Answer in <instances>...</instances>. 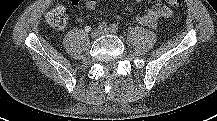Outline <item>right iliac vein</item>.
I'll return each mask as SVG.
<instances>
[{"instance_id": "obj_1", "label": "right iliac vein", "mask_w": 217, "mask_h": 121, "mask_svg": "<svg viewBox=\"0 0 217 121\" xmlns=\"http://www.w3.org/2000/svg\"><path fill=\"white\" fill-rule=\"evenodd\" d=\"M101 35V31L100 30H94L91 34L92 38H97L98 36Z\"/></svg>"}]
</instances>
